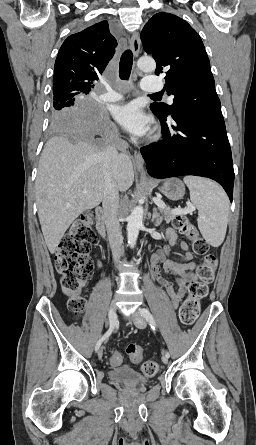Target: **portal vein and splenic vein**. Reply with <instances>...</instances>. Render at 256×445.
Masks as SVG:
<instances>
[{"mask_svg":"<svg viewBox=\"0 0 256 445\" xmlns=\"http://www.w3.org/2000/svg\"><path fill=\"white\" fill-rule=\"evenodd\" d=\"M83 192L86 193L87 190L84 189ZM153 200H154V202L156 203V205H157L158 207H160L161 209H166V205L164 204V202H163L162 200H160V199H158V198H154ZM194 210H195V208H194L192 205H188V206H187L186 208H184V209L177 208V209L172 210V212H173L174 214H176V215L187 214V213L192 214V212H193Z\"/></svg>","mask_w":256,"mask_h":445,"instance_id":"portal-vein-and-splenic-vein-1","label":"portal vein and splenic vein"}]
</instances>
